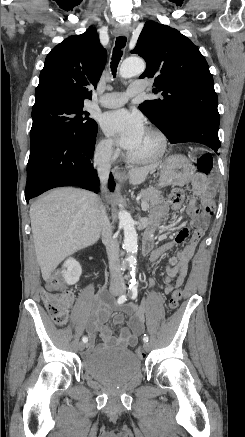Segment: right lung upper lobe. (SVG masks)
Wrapping results in <instances>:
<instances>
[{
    "label": "right lung upper lobe",
    "mask_w": 245,
    "mask_h": 437,
    "mask_svg": "<svg viewBox=\"0 0 245 437\" xmlns=\"http://www.w3.org/2000/svg\"><path fill=\"white\" fill-rule=\"evenodd\" d=\"M106 56L94 27L65 39L45 59L33 107L50 102L83 104L91 99L90 86L98 83Z\"/></svg>",
    "instance_id": "right-lung-upper-lobe-1"
}]
</instances>
